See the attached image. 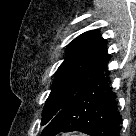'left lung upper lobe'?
Returning a JSON list of instances; mask_svg holds the SVG:
<instances>
[{"label":"left lung upper lobe","mask_w":136,"mask_h":136,"mask_svg":"<svg viewBox=\"0 0 136 136\" xmlns=\"http://www.w3.org/2000/svg\"><path fill=\"white\" fill-rule=\"evenodd\" d=\"M106 51L105 40L97 30L87 31L70 43L46 101L41 125L48 124L82 85L107 62Z\"/></svg>","instance_id":"obj_1"}]
</instances>
